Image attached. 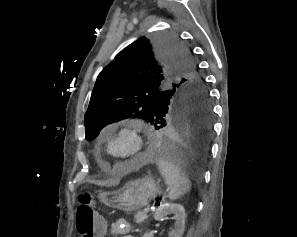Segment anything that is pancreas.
<instances>
[{
  "instance_id": "obj_1",
  "label": "pancreas",
  "mask_w": 297,
  "mask_h": 237,
  "mask_svg": "<svg viewBox=\"0 0 297 237\" xmlns=\"http://www.w3.org/2000/svg\"><path fill=\"white\" fill-rule=\"evenodd\" d=\"M148 218L147 213L145 211H138L135 214V222L137 224H141L142 222H144L146 219Z\"/></svg>"
}]
</instances>
